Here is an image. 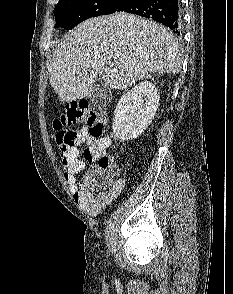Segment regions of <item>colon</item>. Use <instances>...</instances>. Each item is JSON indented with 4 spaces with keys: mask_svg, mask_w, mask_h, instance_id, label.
<instances>
[{
    "mask_svg": "<svg viewBox=\"0 0 233 294\" xmlns=\"http://www.w3.org/2000/svg\"><path fill=\"white\" fill-rule=\"evenodd\" d=\"M83 125L89 129L93 137H98L104 129V122L98 115L89 110L84 102H74L66 105L61 115L54 120L56 130L55 142L62 159L66 157L74 145L73 131L65 129L66 126ZM95 166L84 176L79 184L83 193H96L110 187L116 168L113 161L106 155L96 158Z\"/></svg>",
    "mask_w": 233,
    "mask_h": 294,
    "instance_id": "colon-1",
    "label": "colon"
}]
</instances>
